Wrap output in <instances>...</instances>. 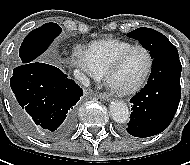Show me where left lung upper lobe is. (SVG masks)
Wrapping results in <instances>:
<instances>
[{
  "label": "left lung upper lobe",
  "instance_id": "left-lung-upper-lobe-1",
  "mask_svg": "<svg viewBox=\"0 0 190 165\" xmlns=\"http://www.w3.org/2000/svg\"><path fill=\"white\" fill-rule=\"evenodd\" d=\"M127 36L138 40L145 49L149 50L151 58L176 48L163 34L150 28H138L129 32Z\"/></svg>",
  "mask_w": 190,
  "mask_h": 165
}]
</instances>
